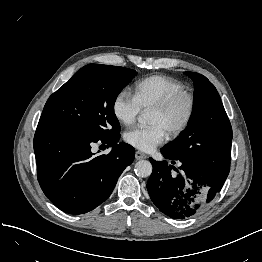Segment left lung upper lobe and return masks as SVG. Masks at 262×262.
<instances>
[{"instance_id":"5c2ea615","label":"left lung upper lobe","mask_w":262,"mask_h":262,"mask_svg":"<svg viewBox=\"0 0 262 262\" xmlns=\"http://www.w3.org/2000/svg\"><path fill=\"white\" fill-rule=\"evenodd\" d=\"M195 85L193 111L187 128L161 150L206 172L229 163L232 128L214 85L203 75L185 72Z\"/></svg>"}]
</instances>
